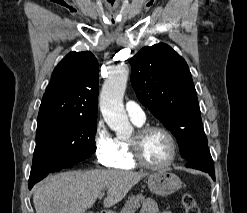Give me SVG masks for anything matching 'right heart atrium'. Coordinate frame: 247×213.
<instances>
[{
  "instance_id": "right-heart-atrium-1",
  "label": "right heart atrium",
  "mask_w": 247,
  "mask_h": 213,
  "mask_svg": "<svg viewBox=\"0 0 247 213\" xmlns=\"http://www.w3.org/2000/svg\"><path fill=\"white\" fill-rule=\"evenodd\" d=\"M92 141L97 162L104 167H113L118 155L116 139L103 121L96 124Z\"/></svg>"
}]
</instances>
